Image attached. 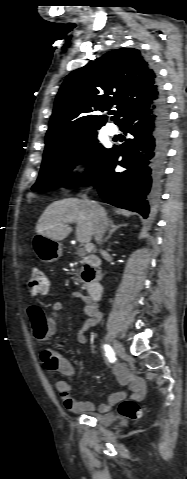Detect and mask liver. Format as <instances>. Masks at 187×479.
I'll use <instances>...</instances> for the list:
<instances>
[{
	"label": "liver",
	"instance_id": "6515ba94",
	"mask_svg": "<svg viewBox=\"0 0 187 479\" xmlns=\"http://www.w3.org/2000/svg\"><path fill=\"white\" fill-rule=\"evenodd\" d=\"M70 223H76V239L89 243L93 236V222L88 206L83 200L67 198L51 203L40 216L36 233L55 241L65 239L72 231Z\"/></svg>",
	"mask_w": 187,
	"mask_h": 479
}]
</instances>
